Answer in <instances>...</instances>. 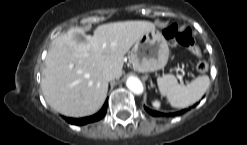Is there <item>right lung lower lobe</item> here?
<instances>
[{
  "mask_svg": "<svg viewBox=\"0 0 247 145\" xmlns=\"http://www.w3.org/2000/svg\"><path fill=\"white\" fill-rule=\"evenodd\" d=\"M106 110H107V101L105 102V104L102 107V109L97 114H95L93 116L85 117V118H80V119L65 118V120L68 123H70V124H74V125H85L87 123L95 122V121H98L101 118H103L104 115L106 114Z\"/></svg>",
  "mask_w": 247,
  "mask_h": 145,
  "instance_id": "right-lung-lower-lobe-1",
  "label": "right lung lower lobe"
}]
</instances>
